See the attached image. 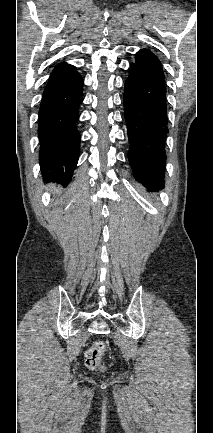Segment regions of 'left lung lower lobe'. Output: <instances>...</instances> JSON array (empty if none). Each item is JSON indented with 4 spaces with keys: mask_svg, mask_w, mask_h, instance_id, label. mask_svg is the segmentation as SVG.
Listing matches in <instances>:
<instances>
[{
    "mask_svg": "<svg viewBox=\"0 0 213 433\" xmlns=\"http://www.w3.org/2000/svg\"><path fill=\"white\" fill-rule=\"evenodd\" d=\"M166 88L160 60L149 49L136 53L125 82L124 114L136 180L149 189L164 187L168 133Z\"/></svg>",
    "mask_w": 213,
    "mask_h": 433,
    "instance_id": "left-lung-lower-lobe-1",
    "label": "left lung lower lobe"
}]
</instances>
